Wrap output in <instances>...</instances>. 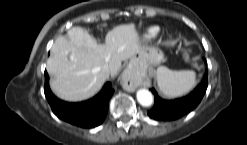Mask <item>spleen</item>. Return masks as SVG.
I'll return each mask as SVG.
<instances>
[{"instance_id":"spleen-1","label":"spleen","mask_w":247,"mask_h":145,"mask_svg":"<svg viewBox=\"0 0 247 145\" xmlns=\"http://www.w3.org/2000/svg\"><path fill=\"white\" fill-rule=\"evenodd\" d=\"M156 78L160 91L170 98L189 93L197 84L194 71L170 70L165 66H160L157 69Z\"/></svg>"}]
</instances>
